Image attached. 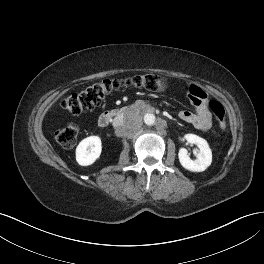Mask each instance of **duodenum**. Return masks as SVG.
<instances>
[{
  "instance_id": "obj_1",
  "label": "duodenum",
  "mask_w": 264,
  "mask_h": 264,
  "mask_svg": "<svg viewBox=\"0 0 264 264\" xmlns=\"http://www.w3.org/2000/svg\"><path fill=\"white\" fill-rule=\"evenodd\" d=\"M128 109L129 107H117L105 111L104 113L101 114V116L98 119L99 127H106L113 121L114 118L122 116ZM144 111L149 114L155 113V109L149 106L145 107ZM158 121L160 122V119H158Z\"/></svg>"
}]
</instances>
